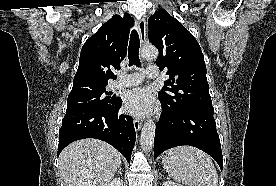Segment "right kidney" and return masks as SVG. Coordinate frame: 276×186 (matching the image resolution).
Masks as SVG:
<instances>
[{
  "mask_svg": "<svg viewBox=\"0 0 276 186\" xmlns=\"http://www.w3.org/2000/svg\"><path fill=\"white\" fill-rule=\"evenodd\" d=\"M107 186H123V180L121 178H115Z\"/></svg>",
  "mask_w": 276,
  "mask_h": 186,
  "instance_id": "ca27d5eb",
  "label": "right kidney"
}]
</instances>
